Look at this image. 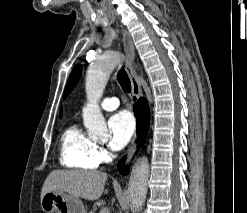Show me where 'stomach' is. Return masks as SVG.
<instances>
[{"label":"stomach","mask_w":247,"mask_h":213,"mask_svg":"<svg viewBox=\"0 0 247 213\" xmlns=\"http://www.w3.org/2000/svg\"><path fill=\"white\" fill-rule=\"evenodd\" d=\"M41 208L45 213H87L79 198L54 191L41 196Z\"/></svg>","instance_id":"1"}]
</instances>
